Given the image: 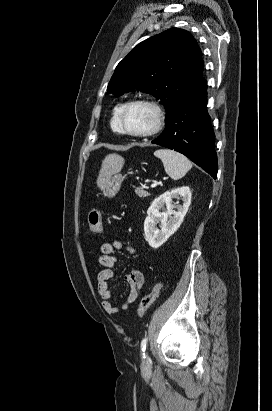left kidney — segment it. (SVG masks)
Returning <instances> with one entry per match:
<instances>
[{"mask_svg": "<svg viewBox=\"0 0 272 411\" xmlns=\"http://www.w3.org/2000/svg\"><path fill=\"white\" fill-rule=\"evenodd\" d=\"M191 196L190 188L183 186L165 192L152 202L144 221L145 239L152 248L163 245L178 230L191 204ZM173 198H182L183 201L182 205L175 206L177 211L173 210ZM161 209L163 212H160Z\"/></svg>", "mask_w": 272, "mask_h": 411, "instance_id": "1", "label": "left kidney"}]
</instances>
